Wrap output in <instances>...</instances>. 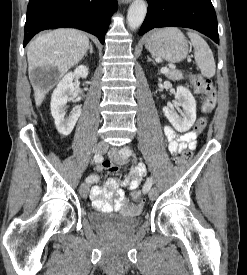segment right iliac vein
<instances>
[{
	"label": "right iliac vein",
	"mask_w": 247,
	"mask_h": 275,
	"mask_svg": "<svg viewBox=\"0 0 247 275\" xmlns=\"http://www.w3.org/2000/svg\"><path fill=\"white\" fill-rule=\"evenodd\" d=\"M107 150L108 144L106 142H99L94 148V152L100 155L104 154ZM79 192L82 197H86L89 192V184L87 182L82 183L79 187Z\"/></svg>",
	"instance_id": "right-iliac-vein-1"
}]
</instances>
